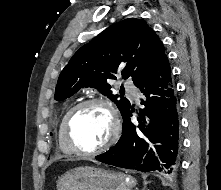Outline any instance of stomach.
<instances>
[{
    "mask_svg": "<svg viewBox=\"0 0 221 190\" xmlns=\"http://www.w3.org/2000/svg\"><path fill=\"white\" fill-rule=\"evenodd\" d=\"M136 180L122 172L89 166L71 169L59 177L57 190H130Z\"/></svg>",
    "mask_w": 221,
    "mask_h": 190,
    "instance_id": "stomach-1",
    "label": "stomach"
}]
</instances>
